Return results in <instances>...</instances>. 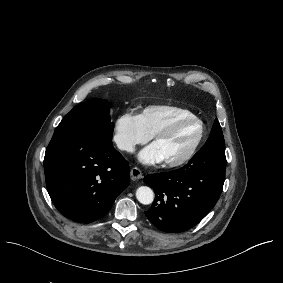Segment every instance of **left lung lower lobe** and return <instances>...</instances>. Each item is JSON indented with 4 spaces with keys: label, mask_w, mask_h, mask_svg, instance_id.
I'll use <instances>...</instances> for the list:
<instances>
[{
    "label": "left lung lower lobe",
    "mask_w": 283,
    "mask_h": 283,
    "mask_svg": "<svg viewBox=\"0 0 283 283\" xmlns=\"http://www.w3.org/2000/svg\"><path fill=\"white\" fill-rule=\"evenodd\" d=\"M225 148L204 145L181 169L149 174L144 182L155 191V201L145 212L148 220L167 233L182 232L199 223L222 192Z\"/></svg>",
    "instance_id": "obj_1"
}]
</instances>
